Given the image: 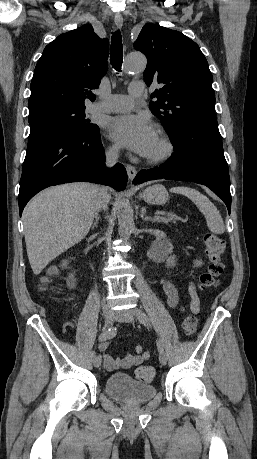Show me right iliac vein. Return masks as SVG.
Segmentation results:
<instances>
[{
    "mask_svg": "<svg viewBox=\"0 0 257 459\" xmlns=\"http://www.w3.org/2000/svg\"><path fill=\"white\" fill-rule=\"evenodd\" d=\"M103 317L105 320V328H108L112 325L113 321L115 320V315L112 310H110L108 307L103 309ZM101 356H97L93 358V365L96 368H99L101 365Z\"/></svg>",
    "mask_w": 257,
    "mask_h": 459,
    "instance_id": "obj_1",
    "label": "right iliac vein"
}]
</instances>
